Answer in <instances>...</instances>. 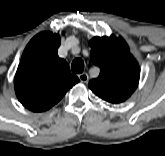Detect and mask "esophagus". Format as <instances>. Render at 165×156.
I'll use <instances>...</instances> for the list:
<instances>
[{
  "mask_svg": "<svg viewBox=\"0 0 165 156\" xmlns=\"http://www.w3.org/2000/svg\"><path fill=\"white\" fill-rule=\"evenodd\" d=\"M78 78L81 82L86 83L89 79V76L87 73H81L78 75Z\"/></svg>",
  "mask_w": 165,
  "mask_h": 156,
  "instance_id": "obj_1",
  "label": "esophagus"
}]
</instances>
